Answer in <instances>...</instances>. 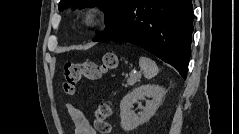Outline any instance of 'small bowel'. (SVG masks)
<instances>
[{"label": "small bowel", "instance_id": "obj_1", "mask_svg": "<svg viewBox=\"0 0 239 134\" xmlns=\"http://www.w3.org/2000/svg\"><path fill=\"white\" fill-rule=\"evenodd\" d=\"M68 112L74 125L75 134H96L84 113L73 105H68Z\"/></svg>", "mask_w": 239, "mask_h": 134}]
</instances>
